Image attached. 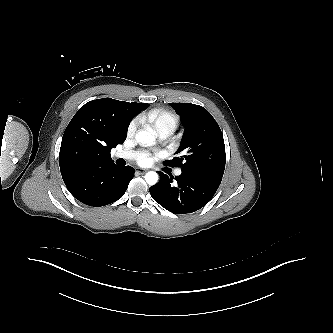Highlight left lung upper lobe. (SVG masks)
<instances>
[{"instance_id": "obj_1", "label": "left lung upper lobe", "mask_w": 333, "mask_h": 333, "mask_svg": "<svg viewBox=\"0 0 333 333\" xmlns=\"http://www.w3.org/2000/svg\"><path fill=\"white\" fill-rule=\"evenodd\" d=\"M185 122L181 145L172 160L164 165L181 167L184 173H206L222 177L225 169L223 134L213 116L202 106L171 103Z\"/></svg>"}]
</instances>
